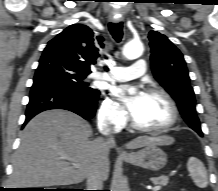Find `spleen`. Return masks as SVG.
Listing matches in <instances>:
<instances>
[{
  "label": "spleen",
  "mask_w": 218,
  "mask_h": 191,
  "mask_svg": "<svg viewBox=\"0 0 218 191\" xmlns=\"http://www.w3.org/2000/svg\"><path fill=\"white\" fill-rule=\"evenodd\" d=\"M187 168L196 186L199 188H206L208 185V178L203 163L195 157H190L187 162Z\"/></svg>",
  "instance_id": "spleen-1"
}]
</instances>
